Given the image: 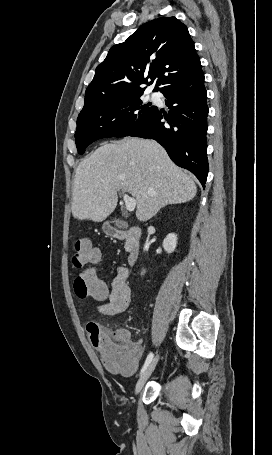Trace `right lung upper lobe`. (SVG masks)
<instances>
[{
    "label": "right lung upper lobe",
    "instance_id": "obj_1",
    "mask_svg": "<svg viewBox=\"0 0 272 455\" xmlns=\"http://www.w3.org/2000/svg\"><path fill=\"white\" fill-rule=\"evenodd\" d=\"M201 71L187 27L175 17L154 19L109 50L86 89L80 113L143 94V85L156 78L153 91L163 92Z\"/></svg>",
    "mask_w": 272,
    "mask_h": 455
}]
</instances>
